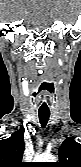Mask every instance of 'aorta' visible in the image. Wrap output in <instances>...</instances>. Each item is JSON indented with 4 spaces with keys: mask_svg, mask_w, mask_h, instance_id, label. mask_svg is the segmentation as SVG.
Wrapping results in <instances>:
<instances>
[{
    "mask_svg": "<svg viewBox=\"0 0 81 167\" xmlns=\"http://www.w3.org/2000/svg\"><path fill=\"white\" fill-rule=\"evenodd\" d=\"M36 162H55L56 158L52 154H41L35 157Z\"/></svg>",
    "mask_w": 81,
    "mask_h": 167,
    "instance_id": "aorta-1",
    "label": "aorta"
}]
</instances>
